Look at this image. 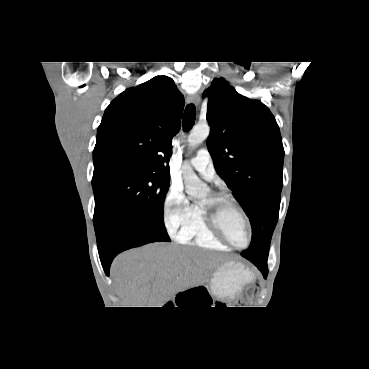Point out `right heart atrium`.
Masks as SVG:
<instances>
[{"label":"right heart atrium","instance_id":"1","mask_svg":"<svg viewBox=\"0 0 369 369\" xmlns=\"http://www.w3.org/2000/svg\"><path fill=\"white\" fill-rule=\"evenodd\" d=\"M193 213V204L185 195L182 187L178 184H173L164 199L163 217L165 226L174 237L185 230Z\"/></svg>","mask_w":369,"mask_h":369}]
</instances>
